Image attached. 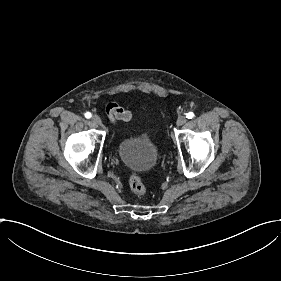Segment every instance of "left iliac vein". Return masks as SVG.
<instances>
[{
	"label": "left iliac vein",
	"instance_id": "1",
	"mask_svg": "<svg viewBox=\"0 0 281 281\" xmlns=\"http://www.w3.org/2000/svg\"><path fill=\"white\" fill-rule=\"evenodd\" d=\"M187 121V118L185 116H179L177 118V122H176V125L177 126H180V125H184Z\"/></svg>",
	"mask_w": 281,
	"mask_h": 281
}]
</instances>
